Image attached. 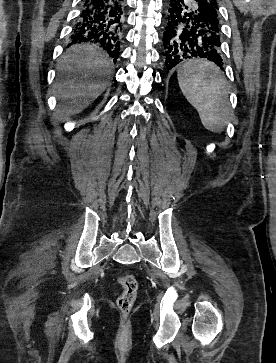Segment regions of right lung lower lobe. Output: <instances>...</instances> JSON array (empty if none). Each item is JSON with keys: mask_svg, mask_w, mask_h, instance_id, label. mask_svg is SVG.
Returning <instances> with one entry per match:
<instances>
[{"mask_svg": "<svg viewBox=\"0 0 276 363\" xmlns=\"http://www.w3.org/2000/svg\"><path fill=\"white\" fill-rule=\"evenodd\" d=\"M124 31V0H82L69 45L81 42L97 44L116 61Z\"/></svg>", "mask_w": 276, "mask_h": 363, "instance_id": "obj_1", "label": "right lung lower lobe"}]
</instances>
